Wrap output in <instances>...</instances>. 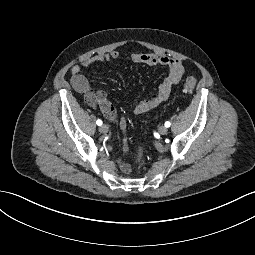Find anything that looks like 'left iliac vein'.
Returning a JSON list of instances; mask_svg holds the SVG:
<instances>
[{
  "mask_svg": "<svg viewBox=\"0 0 255 255\" xmlns=\"http://www.w3.org/2000/svg\"><path fill=\"white\" fill-rule=\"evenodd\" d=\"M158 132H159L161 135H165V134L168 133V129H167V127H165V126H160V127L158 128Z\"/></svg>",
  "mask_w": 255,
  "mask_h": 255,
  "instance_id": "left-iliac-vein-1",
  "label": "left iliac vein"
}]
</instances>
